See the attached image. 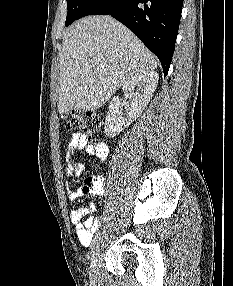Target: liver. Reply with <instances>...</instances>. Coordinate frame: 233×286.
I'll return each mask as SVG.
<instances>
[{
  "label": "liver",
  "mask_w": 233,
  "mask_h": 286,
  "mask_svg": "<svg viewBox=\"0 0 233 286\" xmlns=\"http://www.w3.org/2000/svg\"><path fill=\"white\" fill-rule=\"evenodd\" d=\"M58 112L95 111L133 75L157 67L155 56L111 16L82 18L66 31L59 59Z\"/></svg>",
  "instance_id": "1"
}]
</instances>
